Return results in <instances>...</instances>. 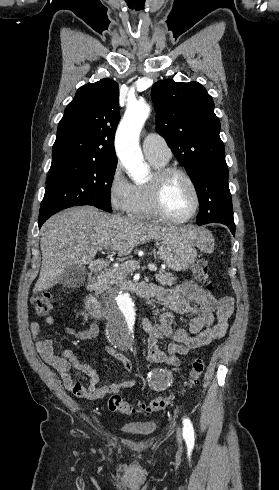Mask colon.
<instances>
[{"instance_id":"5ec220e1","label":"colon","mask_w":279,"mask_h":490,"mask_svg":"<svg viewBox=\"0 0 279 490\" xmlns=\"http://www.w3.org/2000/svg\"><path fill=\"white\" fill-rule=\"evenodd\" d=\"M193 274L200 285L205 289L212 288V277L205 258L199 259L193 265ZM32 304L34 306V313L38 316H46L54 310V299L48 291L35 294L32 298ZM204 367L205 364L202 358H195L192 361L189 378L186 384L187 387H194L198 384L204 371ZM173 399V394H163L154 397L151 400L133 404L123 400L119 394H110L107 400V407L112 412L126 415L140 413L151 414L168 407L173 402Z\"/></svg>"}]
</instances>
